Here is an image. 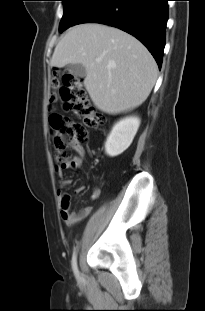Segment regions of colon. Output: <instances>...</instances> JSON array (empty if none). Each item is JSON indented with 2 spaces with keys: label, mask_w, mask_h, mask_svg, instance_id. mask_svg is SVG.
Masks as SVG:
<instances>
[{
  "label": "colon",
  "mask_w": 205,
  "mask_h": 311,
  "mask_svg": "<svg viewBox=\"0 0 205 311\" xmlns=\"http://www.w3.org/2000/svg\"><path fill=\"white\" fill-rule=\"evenodd\" d=\"M57 103H62L66 111L81 120L78 122L57 112H51L49 116L50 126L55 133L57 158L65 163L69 158V151L77 149L88 139L89 129L103 126L105 120L88 102L83 80L74 74L53 73L49 106Z\"/></svg>",
  "instance_id": "5ec220e1"
}]
</instances>
